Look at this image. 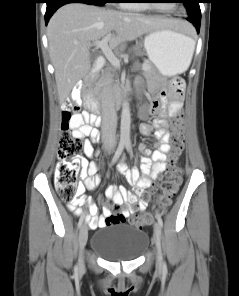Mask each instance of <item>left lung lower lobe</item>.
I'll list each match as a JSON object with an SVG mask.
<instances>
[{
	"instance_id": "left-lung-lower-lobe-1",
	"label": "left lung lower lobe",
	"mask_w": 239,
	"mask_h": 296,
	"mask_svg": "<svg viewBox=\"0 0 239 296\" xmlns=\"http://www.w3.org/2000/svg\"><path fill=\"white\" fill-rule=\"evenodd\" d=\"M186 19H187L188 21H190L191 23L194 24V26H195L196 29H197V32L199 33V30H200V21H201V19L198 20V19H194V18H190V17H187Z\"/></svg>"
}]
</instances>
